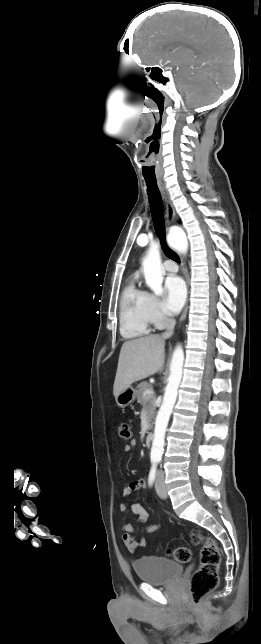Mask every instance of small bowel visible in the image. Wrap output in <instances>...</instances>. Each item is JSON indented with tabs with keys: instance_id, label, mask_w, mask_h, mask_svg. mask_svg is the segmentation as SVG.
Returning a JSON list of instances; mask_svg holds the SVG:
<instances>
[{
	"instance_id": "obj_1",
	"label": "small bowel",
	"mask_w": 261,
	"mask_h": 644,
	"mask_svg": "<svg viewBox=\"0 0 261 644\" xmlns=\"http://www.w3.org/2000/svg\"><path fill=\"white\" fill-rule=\"evenodd\" d=\"M135 445H136L135 441H132L130 444L125 445L124 452L126 453L130 452ZM145 488H146V481L144 479L133 480L123 488L122 494L124 497H127ZM130 509H131V512L138 518L140 522L147 521L148 512L141 504L135 503L131 506ZM126 510H127L126 505L121 504L120 511L126 512ZM122 529L124 531L123 541L131 552L136 551L139 547L147 546L148 541L146 538L140 537L139 539H136L133 536L132 534L134 532L133 524L125 522L122 526ZM159 529H160V525L158 524H149L145 528L146 532L148 533H154Z\"/></svg>"
}]
</instances>
